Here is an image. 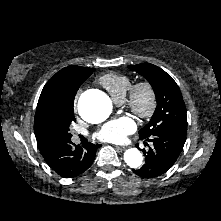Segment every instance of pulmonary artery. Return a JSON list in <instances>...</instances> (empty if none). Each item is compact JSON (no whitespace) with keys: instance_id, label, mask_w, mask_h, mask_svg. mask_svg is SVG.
I'll list each match as a JSON object with an SVG mask.
<instances>
[{"instance_id":"pulmonary-artery-1","label":"pulmonary artery","mask_w":221,"mask_h":221,"mask_svg":"<svg viewBox=\"0 0 221 221\" xmlns=\"http://www.w3.org/2000/svg\"><path fill=\"white\" fill-rule=\"evenodd\" d=\"M123 100L122 99H117L115 100L116 103L120 104ZM79 139L78 134L74 133L73 134V140L77 141Z\"/></svg>"}]
</instances>
